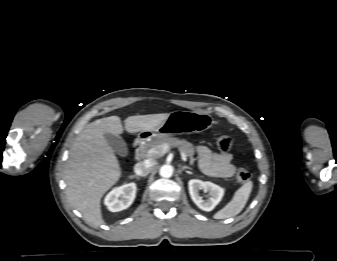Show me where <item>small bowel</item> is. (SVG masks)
Wrapping results in <instances>:
<instances>
[{
  "mask_svg": "<svg viewBox=\"0 0 337 261\" xmlns=\"http://www.w3.org/2000/svg\"><path fill=\"white\" fill-rule=\"evenodd\" d=\"M197 156L201 170L209 176L228 178L236 171L230 153H217L206 146H198Z\"/></svg>",
  "mask_w": 337,
  "mask_h": 261,
  "instance_id": "small-bowel-1",
  "label": "small bowel"
}]
</instances>
